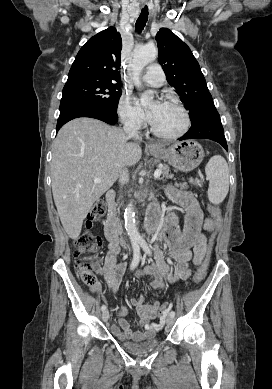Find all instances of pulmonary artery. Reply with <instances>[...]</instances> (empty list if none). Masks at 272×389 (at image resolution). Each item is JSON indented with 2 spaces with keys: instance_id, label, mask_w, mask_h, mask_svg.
<instances>
[{
  "instance_id": "e3ab8cb5",
  "label": "pulmonary artery",
  "mask_w": 272,
  "mask_h": 389,
  "mask_svg": "<svg viewBox=\"0 0 272 389\" xmlns=\"http://www.w3.org/2000/svg\"><path fill=\"white\" fill-rule=\"evenodd\" d=\"M143 81L154 87L161 86L165 81V74L161 66L156 63L148 65L143 75Z\"/></svg>"
}]
</instances>
